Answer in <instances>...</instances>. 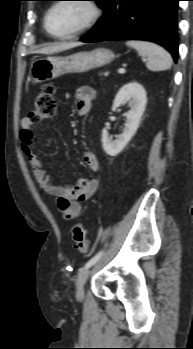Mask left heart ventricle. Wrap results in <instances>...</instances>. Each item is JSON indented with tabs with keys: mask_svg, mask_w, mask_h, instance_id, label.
Returning <instances> with one entry per match:
<instances>
[{
	"mask_svg": "<svg viewBox=\"0 0 193 349\" xmlns=\"http://www.w3.org/2000/svg\"><path fill=\"white\" fill-rule=\"evenodd\" d=\"M91 10L82 2H66L55 7L49 15V29L56 35H66L83 26Z\"/></svg>",
	"mask_w": 193,
	"mask_h": 349,
	"instance_id": "b2bd125f",
	"label": "left heart ventricle"
}]
</instances>
